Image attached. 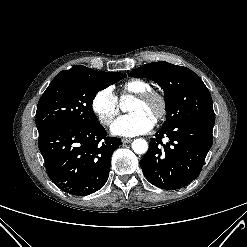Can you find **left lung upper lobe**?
<instances>
[{"label": "left lung upper lobe", "mask_w": 247, "mask_h": 247, "mask_svg": "<svg viewBox=\"0 0 247 247\" xmlns=\"http://www.w3.org/2000/svg\"><path fill=\"white\" fill-rule=\"evenodd\" d=\"M129 76L149 78L164 90L167 112L164 128L183 121L214 126L211 95L203 81L190 69L164 61L153 62L133 70Z\"/></svg>", "instance_id": "1"}]
</instances>
